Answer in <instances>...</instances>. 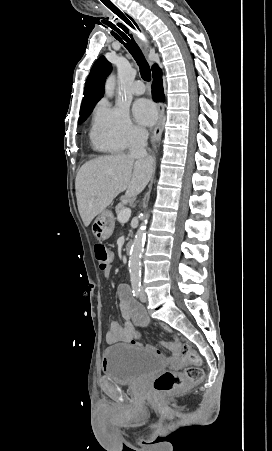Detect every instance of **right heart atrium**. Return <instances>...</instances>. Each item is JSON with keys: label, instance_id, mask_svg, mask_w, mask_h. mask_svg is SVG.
I'll use <instances>...</instances> for the list:
<instances>
[{"label": "right heart atrium", "instance_id": "d8ad5b80", "mask_svg": "<svg viewBox=\"0 0 272 451\" xmlns=\"http://www.w3.org/2000/svg\"><path fill=\"white\" fill-rule=\"evenodd\" d=\"M140 131L131 120L127 108L107 102H101L96 107L93 134L98 141L125 149Z\"/></svg>", "mask_w": 272, "mask_h": 451}]
</instances>
